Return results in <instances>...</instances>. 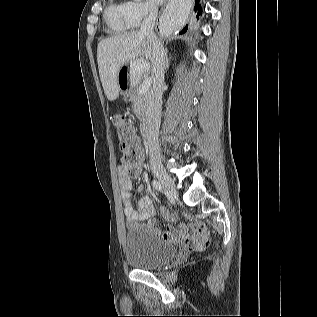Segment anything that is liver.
Wrapping results in <instances>:
<instances>
[{
  "label": "liver",
  "instance_id": "1",
  "mask_svg": "<svg viewBox=\"0 0 317 317\" xmlns=\"http://www.w3.org/2000/svg\"><path fill=\"white\" fill-rule=\"evenodd\" d=\"M152 59V44L140 31H131L100 41L97 47V62L107 99H117L120 91L118 73L124 65L133 61L138 66L144 62L146 67L140 71H149L150 63L146 60L152 63Z\"/></svg>",
  "mask_w": 317,
  "mask_h": 317
}]
</instances>
